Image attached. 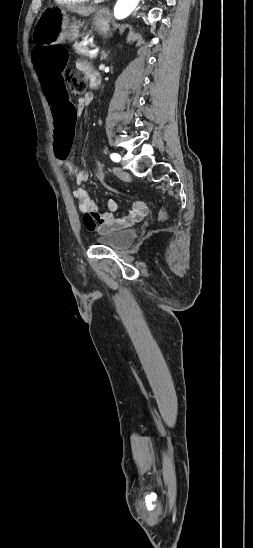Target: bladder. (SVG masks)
I'll use <instances>...</instances> for the list:
<instances>
[{
    "instance_id": "31cf9c89",
    "label": "bladder",
    "mask_w": 253,
    "mask_h": 548,
    "mask_svg": "<svg viewBox=\"0 0 253 548\" xmlns=\"http://www.w3.org/2000/svg\"><path fill=\"white\" fill-rule=\"evenodd\" d=\"M138 232L136 229H125L118 231H109L100 234L96 243L103 246H108L115 250H123L127 248L136 239Z\"/></svg>"
}]
</instances>
